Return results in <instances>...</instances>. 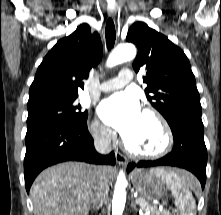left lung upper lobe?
<instances>
[{"instance_id": "left-lung-upper-lobe-1", "label": "left lung upper lobe", "mask_w": 221, "mask_h": 215, "mask_svg": "<svg viewBox=\"0 0 221 215\" xmlns=\"http://www.w3.org/2000/svg\"><path fill=\"white\" fill-rule=\"evenodd\" d=\"M126 39L138 48L133 69L146 71L143 82L147 83V99L168 124L177 112L201 116L199 92L184 52L143 22L133 24Z\"/></svg>"}]
</instances>
